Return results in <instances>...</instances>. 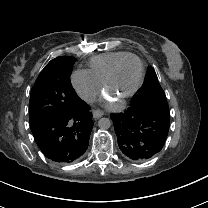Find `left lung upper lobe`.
Masks as SVG:
<instances>
[{
  "instance_id": "1",
  "label": "left lung upper lobe",
  "mask_w": 208,
  "mask_h": 208,
  "mask_svg": "<svg viewBox=\"0 0 208 208\" xmlns=\"http://www.w3.org/2000/svg\"><path fill=\"white\" fill-rule=\"evenodd\" d=\"M130 106L156 110L170 115L165 93L152 67H149L145 86L133 97Z\"/></svg>"
}]
</instances>
